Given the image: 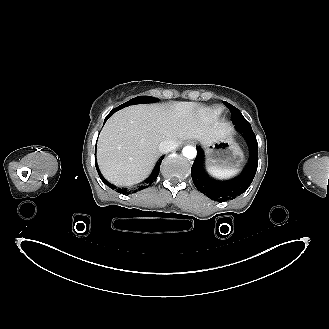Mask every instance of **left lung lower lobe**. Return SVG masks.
Masks as SVG:
<instances>
[{"label": "left lung lower lobe", "mask_w": 329, "mask_h": 329, "mask_svg": "<svg viewBox=\"0 0 329 329\" xmlns=\"http://www.w3.org/2000/svg\"><path fill=\"white\" fill-rule=\"evenodd\" d=\"M244 138L248 151L249 162L241 174L227 181L215 180L209 177L203 168L201 149L197 147V156L192 165L191 176L196 188L215 201L232 200L244 193L253 181L258 165V143L249 122L235 125Z\"/></svg>", "instance_id": "1"}]
</instances>
